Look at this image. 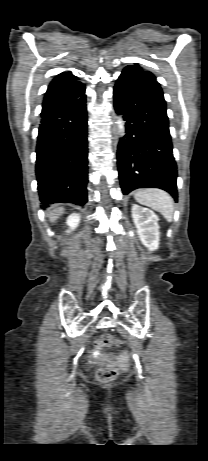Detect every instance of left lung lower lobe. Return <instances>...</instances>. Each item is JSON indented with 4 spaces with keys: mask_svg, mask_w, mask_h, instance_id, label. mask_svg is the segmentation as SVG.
Segmentation results:
<instances>
[{
    "mask_svg": "<svg viewBox=\"0 0 208 461\" xmlns=\"http://www.w3.org/2000/svg\"><path fill=\"white\" fill-rule=\"evenodd\" d=\"M113 94L116 112L126 121L117 151L123 194L154 187L177 201V166L160 84L141 70H123Z\"/></svg>",
    "mask_w": 208,
    "mask_h": 461,
    "instance_id": "obj_1",
    "label": "left lung lower lobe"
}]
</instances>
